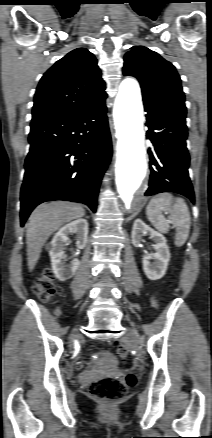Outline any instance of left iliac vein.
I'll use <instances>...</instances> for the list:
<instances>
[{"label": "left iliac vein", "instance_id": "1", "mask_svg": "<svg viewBox=\"0 0 212 438\" xmlns=\"http://www.w3.org/2000/svg\"><path fill=\"white\" fill-rule=\"evenodd\" d=\"M124 340L126 342L133 343L136 340V331L134 329L129 330L126 336L124 337ZM138 343L140 345H143L142 340H139Z\"/></svg>", "mask_w": 212, "mask_h": 438}]
</instances>
